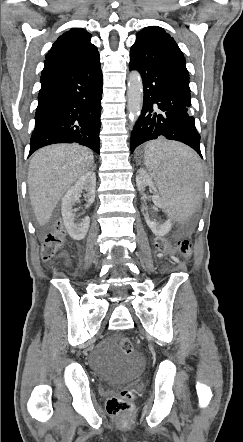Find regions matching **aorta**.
<instances>
[{
	"mask_svg": "<svg viewBox=\"0 0 243 442\" xmlns=\"http://www.w3.org/2000/svg\"><path fill=\"white\" fill-rule=\"evenodd\" d=\"M128 112L131 125H134L141 113L143 104V83L138 71H132L128 78Z\"/></svg>",
	"mask_w": 243,
	"mask_h": 442,
	"instance_id": "obj_1",
	"label": "aorta"
}]
</instances>
